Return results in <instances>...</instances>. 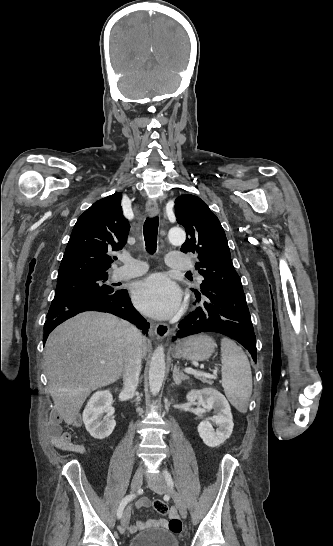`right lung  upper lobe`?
Instances as JSON below:
<instances>
[{
	"mask_svg": "<svg viewBox=\"0 0 333 546\" xmlns=\"http://www.w3.org/2000/svg\"><path fill=\"white\" fill-rule=\"evenodd\" d=\"M122 195L96 201L77 220L67 244L58 279L107 273L109 254L127 242L130 225L122 214Z\"/></svg>",
	"mask_w": 333,
	"mask_h": 546,
	"instance_id": "right-lung-upper-lobe-1",
	"label": "right lung upper lobe"
}]
</instances>
